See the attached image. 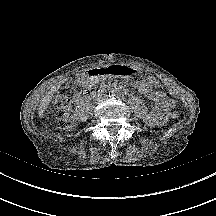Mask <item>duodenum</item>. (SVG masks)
Segmentation results:
<instances>
[{
    "label": "duodenum",
    "mask_w": 216,
    "mask_h": 216,
    "mask_svg": "<svg viewBox=\"0 0 216 216\" xmlns=\"http://www.w3.org/2000/svg\"><path fill=\"white\" fill-rule=\"evenodd\" d=\"M110 88L111 87H109V86H103V87L99 88L96 91H84V92H81L76 96V100L84 101V100L92 99V98L100 95L101 93L109 90Z\"/></svg>",
    "instance_id": "obj_1"
}]
</instances>
